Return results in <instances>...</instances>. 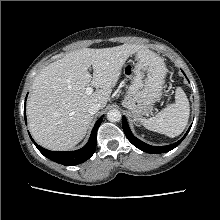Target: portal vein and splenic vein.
Segmentation results:
<instances>
[{
	"label": "portal vein and splenic vein",
	"instance_id": "obj_1",
	"mask_svg": "<svg viewBox=\"0 0 220 220\" xmlns=\"http://www.w3.org/2000/svg\"><path fill=\"white\" fill-rule=\"evenodd\" d=\"M92 92H93V88H92V87H87V88H86V94H87V95H91Z\"/></svg>",
	"mask_w": 220,
	"mask_h": 220
}]
</instances>
